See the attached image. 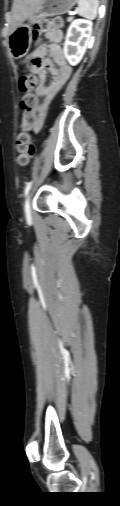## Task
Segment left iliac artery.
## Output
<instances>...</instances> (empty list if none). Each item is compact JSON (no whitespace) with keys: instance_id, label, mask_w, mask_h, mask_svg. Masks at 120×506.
Listing matches in <instances>:
<instances>
[{"instance_id":"obj_1","label":"left iliac artery","mask_w":120,"mask_h":506,"mask_svg":"<svg viewBox=\"0 0 120 506\" xmlns=\"http://www.w3.org/2000/svg\"><path fill=\"white\" fill-rule=\"evenodd\" d=\"M31 185H32L31 181L26 184V187H25V190H24V195L25 196L28 194V192H29V190L31 188Z\"/></svg>"}]
</instances>
